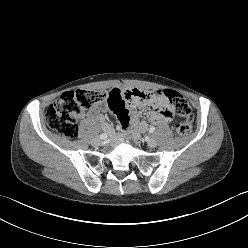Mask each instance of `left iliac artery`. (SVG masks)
<instances>
[{"mask_svg":"<svg viewBox=\"0 0 248 248\" xmlns=\"http://www.w3.org/2000/svg\"><path fill=\"white\" fill-rule=\"evenodd\" d=\"M154 131H155V127H151L149 132L153 133Z\"/></svg>","mask_w":248,"mask_h":248,"instance_id":"left-iliac-artery-1","label":"left iliac artery"}]
</instances>
